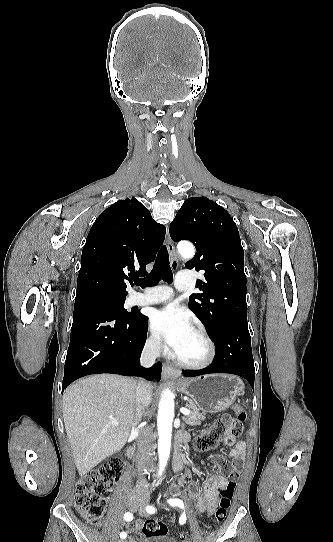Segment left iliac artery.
Segmentation results:
<instances>
[{"mask_svg": "<svg viewBox=\"0 0 333 542\" xmlns=\"http://www.w3.org/2000/svg\"><path fill=\"white\" fill-rule=\"evenodd\" d=\"M168 503H169L170 505H172V506L177 505V506H179L180 508H184V504H183V502H182L180 499H170V500H168ZM146 511H147L148 513H150V514H153V513H155L156 510H155V508L152 507V506H147V507H146ZM185 522H186V515H185V513H183V514L181 515V517L179 518V523H180V524H184Z\"/></svg>", "mask_w": 333, "mask_h": 542, "instance_id": "1", "label": "left iliac artery"}]
</instances>
